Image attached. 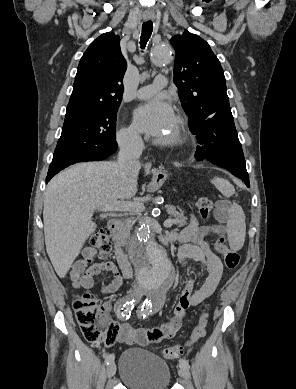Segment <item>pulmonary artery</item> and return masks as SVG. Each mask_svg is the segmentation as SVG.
Wrapping results in <instances>:
<instances>
[{
  "label": "pulmonary artery",
  "mask_w": 296,
  "mask_h": 389,
  "mask_svg": "<svg viewBox=\"0 0 296 389\" xmlns=\"http://www.w3.org/2000/svg\"><path fill=\"white\" fill-rule=\"evenodd\" d=\"M166 83H167L166 77L163 75H158L155 77L152 84L141 87L137 91L136 96L139 99L149 98L153 96L155 93H157L160 89L164 88L166 86Z\"/></svg>",
  "instance_id": "1"
}]
</instances>
